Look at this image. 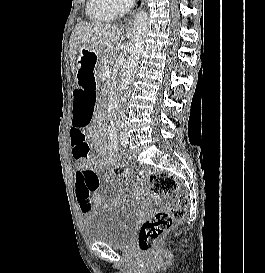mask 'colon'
Returning <instances> with one entry per match:
<instances>
[{"instance_id":"obj_1","label":"colon","mask_w":265,"mask_h":273,"mask_svg":"<svg viewBox=\"0 0 265 273\" xmlns=\"http://www.w3.org/2000/svg\"><path fill=\"white\" fill-rule=\"evenodd\" d=\"M116 175H125L128 170L122 166L112 168ZM148 178L151 191L157 196H168L178 189L176 179L167 172L144 171ZM89 192V191H88ZM188 206V198L183 195H177L173 198L167 209L156 212V214L147 219L141 226L138 234L137 243L141 250H150L157 241L170 229L172 223L184 217Z\"/></svg>"}]
</instances>
